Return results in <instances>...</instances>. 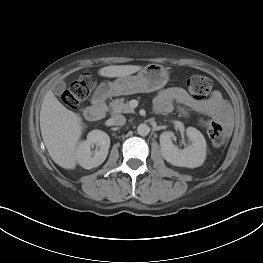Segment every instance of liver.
Instances as JSON below:
<instances>
[{"mask_svg":"<svg viewBox=\"0 0 263 263\" xmlns=\"http://www.w3.org/2000/svg\"><path fill=\"white\" fill-rule=\"evenodd\" d=\"M138 65H112L101 68L98 73L105 77L131 75L141 70ZM40 129L44 144L52 160L65 169H74L77 145L82 135V119L68 110L49 90L40 110Z\"/></svg>","mask_w":263,"mask_h":263,"instance_id":"liver-1","label":"liver"}]
</instances>
